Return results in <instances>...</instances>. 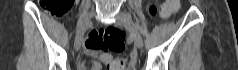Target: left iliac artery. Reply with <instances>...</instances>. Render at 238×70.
<instances>
[{"mask_svg": "<svg viewBox=\"0 0 238 70\" xmlns=\"http://www.w3.org/2000/svg\"><path fill=\"white\" fill-rule=\"evenodd\" d=\"M138 28L140 29V31H141L142 34H145V33H146V31H145L143 28H141V27H139V26H138ZM146 36L148 37L149 35L147 34Z\"/></svg>", "mask_w": 238, "mask_h": 70, "instance_id": "1", "label": "left iliac artery"}]
</instances>
